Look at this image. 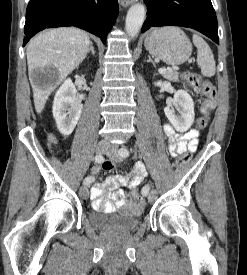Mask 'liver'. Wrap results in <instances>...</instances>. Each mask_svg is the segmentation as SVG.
Masks as SVG:
<instances>
[{
  "label": "liver",
  "mask_w": 247,
  "mask_h": 275,
  "mask_svg": "<svg viewBox=\"0 0 247 275\" xmlns=\"http://www.w3.org/2000/svg\"><path fill=\"white\" fill-rule=\"evenodd\" d=\"M88 34L74 27H60L36 36L27 46L28 72L36 68L54 67L58 79L40 87L31 81L35 110L40 114L49 95L86 58L90 48Z\"/></svg>",
  "instance_id": "6515ba94"
}]
</instances>
